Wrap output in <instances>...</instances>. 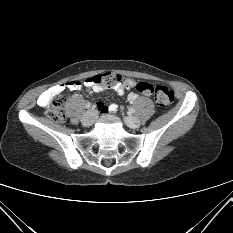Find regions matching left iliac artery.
Returning a JSON list of instances; mask_svg holds the SVG:
<instances>
[{"label": "left iliac artery", "instance_id": "44dca946", "mask_svg": "<svg viewBox=\"0 0 233 233\" xmlns=\"http://www.w3.org/2000/svg\"><path fill=\"white\" fill-rule=\"evenodd\" d=\"M129 112H130V113H135V109H134V108H130V109H129Z\"/></svg>", "mask_w": 233, "mask_h": 233}]
</instances>
